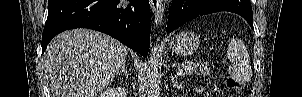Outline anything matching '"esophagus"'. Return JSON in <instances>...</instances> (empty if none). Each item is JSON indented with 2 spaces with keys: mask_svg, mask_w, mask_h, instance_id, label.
Returning a JSON list of instances; mask_svg holds the SVG:
<instances>
[{
  "mask_svg": "<svg viewBox=\"0 0 302 97\" xmlns=\"http://www.w3.org/2000/svg\"><path fill=\"white\" fill-rule=\"evenodd\" d=\"M151 10L154 14V20L156 24H160L163 17L164 7L161 0H149Z\"/></svg>",
  "mask_w": 302,
  "mask_h": 97,
  "instance_id": "obj_1",
  "label": "esophagus"
}]
</instances>
